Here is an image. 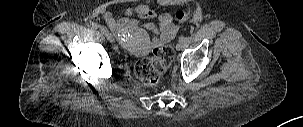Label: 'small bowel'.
Segmentation results:
<instances>
[{"label": "small bowel", "mask_w": 303, "mask_h": 127, "mask_svg": "<svg viewBox=\"0 0 303 127\" xmlns=\"http://www.w3.org/2000/svg\"><path fill=\"white\" fill-rule=\"evenodd\" d=\"M156 12L148 4L128 8L120 16L105 11L103 19L118 40L135 53H146L152 48L170 41L175 34V26L168 14L159 17L157 26L151 20ZM139 19L146 20L140 23Z\"/></svg>", "instance_id": "1"}]
</instances>
